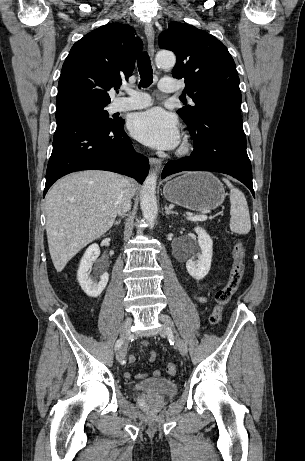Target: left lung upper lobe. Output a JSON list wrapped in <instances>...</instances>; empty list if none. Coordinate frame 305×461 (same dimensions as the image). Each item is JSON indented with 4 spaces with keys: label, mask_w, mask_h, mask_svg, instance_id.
<instances>
[{
    "label": "left lung upper lobe",
    "mask_w": 305,
    "mask_h": 461,
    "mask_svg": "<svg viewBox=\"0 0 305 461\" xmlns=\"http://www.w3.org/2000/svg\"><path fill=\"white\" fill-rule=\"evenodd\" d=\"M159 46L177 56L174 78L186 83L195 106L177 111L186 124L213 107L241 105L236 65L227 48L213 35L192 25L172 22L159 36Z\"/></svg>",
    "instance_id": "left-lung-upper-lobe-1"
}]
</instances>
